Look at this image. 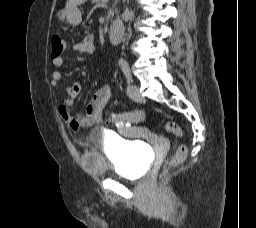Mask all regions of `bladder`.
<instances>
[{
    "label": "bladder",
    "instance_id": "1",
    "mask_svg": "<svg viewBox=\"0 0 256 228\" xmlns=\"http://www.w3.org/2000/svg\"><path fill=\"white\" fill-rule=\"evenodd\" d=\"M108 142L109 155L100 151L97 142ZM86 168L97 175L114 174L129 179H138L146 171L147 151L137 142L125 139H113L94 129L90 134L87 150L83 154Z\"/></svg>",
    "mask_w": 256,
    "mask_h": 228
}]
</instances>
